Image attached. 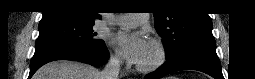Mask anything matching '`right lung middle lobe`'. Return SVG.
Instances as JSON below:
<instances>
[{
    "instance_id": "dd1d6c3e",
    "label": "right lung middle lobe",
    "mask_w": 255,
    "mask_h": 79,
    "mask_svg": "<svg viewBox=\"0 0 255 79\" xmlns=\"http://www.w3.org/2000/svg\"><path fill=\"white\" fill-rule=\"evenodd\" d=\"M94 24V21L75 18L41 20L35 48L51 44L80 47L99 46L104 41L95 37L96 33H93L92 30Z\"/></svg>"
}]
</instances>
